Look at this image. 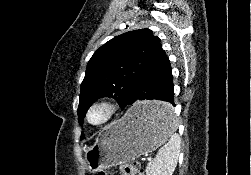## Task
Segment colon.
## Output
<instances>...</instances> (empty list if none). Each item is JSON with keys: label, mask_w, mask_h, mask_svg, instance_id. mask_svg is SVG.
Instances as JSON below:
<instances>
[{"label": "colon", "mask_w": 251, "mask_h": 175, "mask_svg": "<svg viewBox=\"0 0 251 175\" xmlns=\"http://www.w3.org/2000/svg\"><path fill=\"white\" fill-rule=\"evenodd\" d=\"M117 171L120 175H144L143 167L138 161L121 163L118 165ZM97 175H110V171L102 170Z\"/></svg>", "instance_id": "1"}]
</instances>
